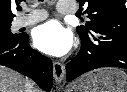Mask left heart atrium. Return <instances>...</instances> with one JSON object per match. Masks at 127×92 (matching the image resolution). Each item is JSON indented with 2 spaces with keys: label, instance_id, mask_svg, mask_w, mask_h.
<instances>
[{
  "label": "left heart atrium",
  "instance_id": "left-heart-atrium-1",
  "mask_svg": "<svg viewBox=\"0 0 127 92\" xmlns=\"http://www.w3.org/2000/svg\"><path fill=\"white\" fill-rule=\"evenodd\" d=\"M33 42L41 52L62 56L72 47V35L58 21L51 20L35 28Z\"/></svg>",
  "mask_w": 127,
  "mask_h": 92
}]
</instances>
